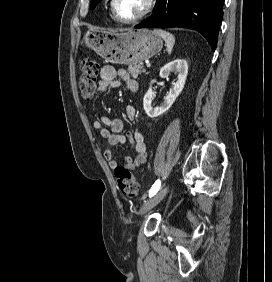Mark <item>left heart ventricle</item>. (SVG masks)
I'll return each instance as SVG.
<instances>
[{
	"label": "left heart ventricle",
	"instance_id": "obj_1",
	"mask_svg": "<svg viewBox=\"0 0 272 282\" xmlns=\"http://www.w3.org/2000/svg\"><path fill=\"white\" fill-rule=\"evenodd\" d=\"M147 1L148 0H117V13L124 19L133 18L145 10Z\"/></svg>",
	"mask_w": 272,
	"mask_h": 282
}]
</instances>
